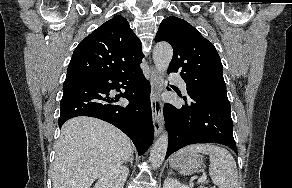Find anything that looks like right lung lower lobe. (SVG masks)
<instances>
[{"label": "right lung lower lobe", "mask_w": 292, "mask_h": 188, "mask_svg": "<svg viewBox=\"0 0 292 188\" xmlns=\"http://www.w3.org/2000/svg\"><path fill=\"white\" fill-rule=\"evenodd\" d=\"M125 92L109 95L115 89ZM120 97L129 101L118 105ZM59 127L70 118L89 116L102 119L123 131L136 146L139 155L153 142L154 129L150 104V83L140 68L124 74L68 76L63 84Z\"/></svg>", "instance_id": "obj_1"}]
</instances>
